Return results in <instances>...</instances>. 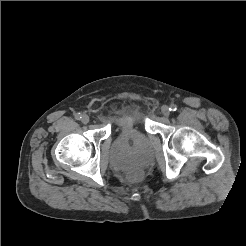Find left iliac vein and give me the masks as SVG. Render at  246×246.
<instances>
[{
  "instance_id": "4c4485c4",
  "label": "left iliac vein",
  "mask_w": 246,
  "mask_h": 246,
  "mask_svg": "<svg viewBox=\"0 0 246 246\" xmlns=\"http://www.w3.org/2000/svg\"><path fill=\"white\" fill-rule=\"evenodd\" d=\"M161 112L165 117H168L170 115V109L168 106H162Z\"/></svg>"
}]
</instances>
